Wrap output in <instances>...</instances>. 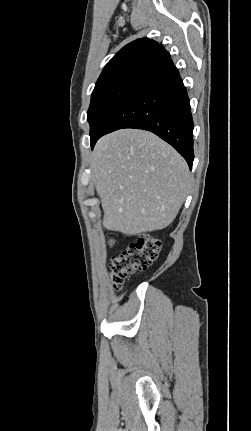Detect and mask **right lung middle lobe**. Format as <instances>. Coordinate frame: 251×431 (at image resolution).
Returning a JSON list of instances; mask_svg holds the SVG:
<instances>
[{"instance_id":"obj_1","label":"right lung middle lobe","mask_w":251,"mask_h":431,"mask_svg":"<svg viewBox=\"0 0 251 431\" xmlns=\"http://www.w3.org/2000/svg\"><path fill=\"white\" fill-rule=\"evenodd\" d=\"M148 64L135 62L125 65L96 83L87 117L91 142L103 132L112 115L141 79Z\"/></svg>"}]
</instances>
